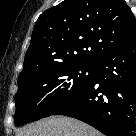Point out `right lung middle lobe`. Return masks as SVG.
<instances>
[{"label":"right lung middle lobe","mask_w":136,"mask_h":136,"mask_svg":"<svg viewBox=\"0 0 136 136\" xmlns=\"http://www.w3.org/2000/svg\"><path fill=\"white\" fill-rule=\"evenodd\" d=\"M95 64L70 63L41 70L18 83L15 125L50 116L93 79Z\"/></svg>","instance_id":"1"}]
</instances>
